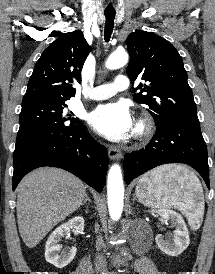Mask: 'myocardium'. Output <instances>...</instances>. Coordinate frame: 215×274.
Returning <instances> with one entry per match:
<instances>
[{
	"label": "myocardium",
	"instance_id": "1",
	"mask_svg": "<svg viewBox=\"0 0 215 274\" xmlns=\"http://www.w3.org/2000/svg\"><path fill=\"white\" fill-rule=\"evenodd\" d=\"M154 132V121L148 114L141 115L134 128V138L139 141L146 140Z\"/></svg>",
	"mask_w": 215,
	"mask_h": 274
}]
</instances>
